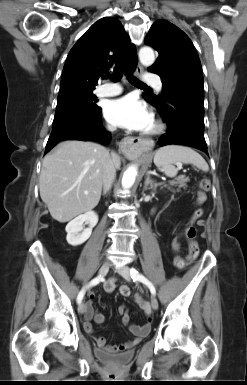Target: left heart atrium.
Here are the masks:
<instances>
[{"mask_svg": "<svg viewBox=\"0 0 247 385\" xmlns=\"http://www.w3.org/2000/svg\"><path fill=\"white\" fill-rule=\"evenodd\" d=\"M104 113L108 122L128 130L145 131L153 123L151 111L134 95L110 100Z\"/></svg>", "mask_w": 247, "mask_h": 385, "instance_id": "obj_1", "label": "left heart atrium"}]
</instances>
